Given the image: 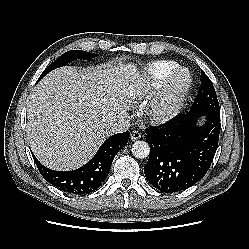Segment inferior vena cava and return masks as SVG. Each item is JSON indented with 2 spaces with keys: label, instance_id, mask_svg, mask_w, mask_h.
<instances>
[{
  "label": "inferior vena cava",
  "instance_id": "obj_1",
  "mask_svg": "<svg viewBox=\"0 0 249 249\" xmlns=\"http://www.w3.org/2000/svg\"><path fill=\"white\" fill-rule=\"evenodd\" d=\"M130 126V119L127 116H121L110 125L109 130L111 133H122L127 131Z\"/></svg>",
  "mask_w": 249,
  "mask_h": 249
}]
</instances>
